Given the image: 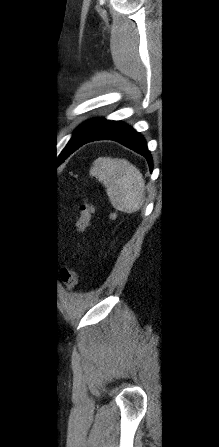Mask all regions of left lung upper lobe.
Masks as SVG:
<instances>
[{"mask_svg":"<svg viewBox=\"0 0 219 447\" xmlns=\"http://www.w3.org/2000/svg\"><path fill=\"white\" fill-rule=\"evenodd\" d=\"M103 119L90 120L81 125L75 132L67 146L60 155L65 154L73 145L85 140L89 135L93 134L103 124Z\"/></svg>","mask_w":219,"mask_h":447,"instance_id":"left-lung-upper-lobe-1","label":"left lung upper lobe"}]
</instances>
